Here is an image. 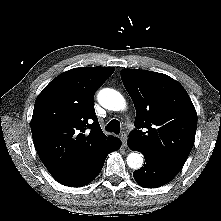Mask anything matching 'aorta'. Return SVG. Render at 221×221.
I'll use <instances>...</instances> for the list:
<instances>
[{
	"instance_id": "aorta-1",
	"label": "aorta",
	"mask_w": 221,
	"mask_h": 221,
	"mask_svg": "<svg viewBox=\"0 0 221 221\" xmlns=\"http://www.w3.org/2000/svg\"><path fill=\"white\" fill-rule=\"evenodd\" d=\"M98 102L108 110L120 111L126 108L124 97L116 90L104 88L97 95ZM143 155L138 152H131L127 156V165L134 170L140 169L143 165Z\"/></svg>"
}]
</instances>
